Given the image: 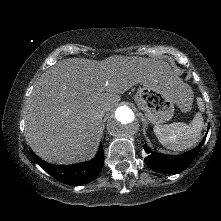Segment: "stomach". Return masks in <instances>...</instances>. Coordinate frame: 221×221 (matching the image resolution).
<instances>
[{"mask_svg": "<svg viewBox=\"0 0 221 221\" xmlns=\"http://www.w3.org/2000/svg\"><path fill=\"white\" fill-rule=\"evenodd\" d=\"M134 100L145 117L155 125L169 121L173 117L175 105L182 111H188L192 104L191 91L174 76L167 82L143 84Z\"/></svg>", "mask_w": 221, "mask_h": 221, "instance_id": "0dacf381", "label": "stomach"}]
</instances>
